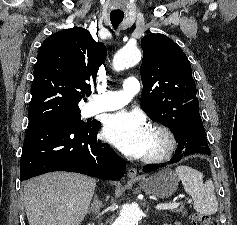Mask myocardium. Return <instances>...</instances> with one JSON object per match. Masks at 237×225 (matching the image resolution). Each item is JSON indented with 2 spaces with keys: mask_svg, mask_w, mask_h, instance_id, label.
I'll use <instances>...</instances> for the list:
<instances>
[{
  "mask_svg": "<svg viewBox=\"0 0 237 225\" xmlns=\"http://www.w3.org/2000/svg\"><path fill=\"white\" fill-rule=\"evenodd\" d=\"M149 130L158 138L160 146L145 154L143 160L147 163H160L168 160L177 146L174 134L168 128L158 124L152 125Z\"/></svg>",
  "mask_w": 237,
  "mask_h": 225,
  "instance_id": "myocardium-1",
  "label": "myocardium"
}]
</instances>
